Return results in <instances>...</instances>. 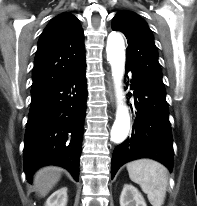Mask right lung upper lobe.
<instances>
[{"instance_id": "obj_1", "label": "right lung upper lobe", "mask_w": 197, "mask_h": 206, "mask_svg": "<svg viewBox=\"0 0 197 206\" xmlns=\"http://www.w3.org/2000/svg\"><path fill=\"white\" fill-rule=\"evenodd\" d=\"M85 64L84 35L78 19L69 13L53 18L38 41L32 94H41Z\"/></svg>"}]
</instances>
